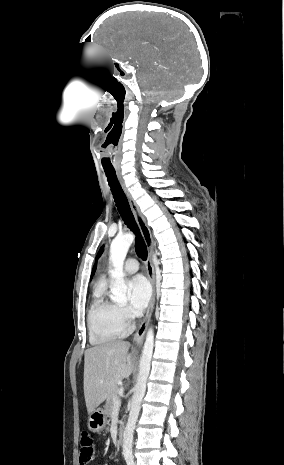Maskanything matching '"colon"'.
I'll list each match as a JSON object with an SVG mask.
<instances>
[{"label": "colon", "instance_id": "1", "mask_svg": "<svg viewBox=\"0 0 284 465\" xmlns=\"http://www.w3.org/2000/svg\"><path fill=\"white\" fill-rule=\"evenodd\" d=\"M80 464L86 465L91 461L95 451L93 448V438L87 432L80 435Z\"/></svg>", "mask_w": 284, "mask_h": 465}]
</instances>
